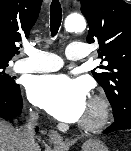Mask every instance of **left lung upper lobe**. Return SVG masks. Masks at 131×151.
I'll return each mask as SVG.
<instances>
[{
	"label": "left lung upper lobe",
	"instance_id": "5c2ea615",
	"mask_svg": "<svg viewBox=\"0 0 131 151\" xmlns=\"http://www.w3.org/2000/svg\"><path fill=\"white\" fill-rule=\"evenodd\" d=\"M89 24L88 43H98L107 66L92 71L106 92L114 118L131 114V4L123 0H80Z\"/></svg>",
	"mask_w": 131,
	"mask_h": 151
}]
</instances>
